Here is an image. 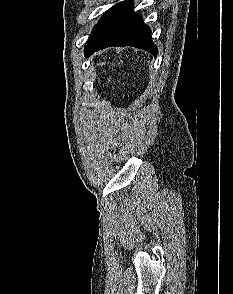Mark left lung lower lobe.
<instances>
[{"label": "left lung lower lobe", "instance_id": "0a47b994", "mask_svg": "<svg viewBox=\"0 0 233 294\" xmlns=\"http://www.w3.org/2000/svg\"><path fill=\"white\" fill-rule=\"evenodd\" d=\"M110 46H133L157 57V47L151 41V30L143 23L140 14L133 12L131 0L110 8L95 26L85 46V55Z\"/></svg>", "mask_w": 233, "mask_h": 294}]
</instances>
